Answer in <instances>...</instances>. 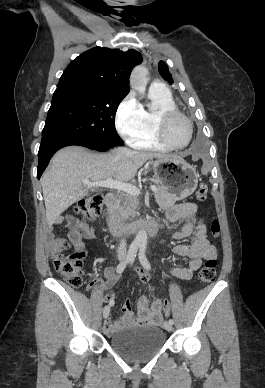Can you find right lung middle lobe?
<instances>
[{
  "mask_svg": "<svg viewBox=\"0 0 265 388\" xmlns=\"http://www.w3.org/2000/svg\"><path fill=\"white\" fill-rule=\"evenodd\" d=\"M126 95L112 90L54 93L41 142L60 136H75L100 147L123 145L115 129L114 117Z\"/></svg>",
  "mask_w": 265,
  "mask_h": 388,
  "instance_id": "right-lung-middle-lobe-1",
  "label": "right lung middle lobe"
}]
</instances>
